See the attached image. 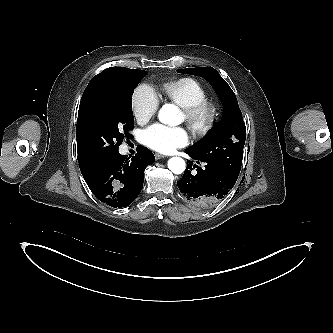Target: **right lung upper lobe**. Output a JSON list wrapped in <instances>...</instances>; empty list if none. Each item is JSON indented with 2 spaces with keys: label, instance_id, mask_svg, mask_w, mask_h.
<instances>
[{
  "label": "right lung upper lobe",
  "instance_id": "cb5924a9",
  "mask_svg": "<svg viewBox=\"0 0 333 333\" xmlns=\"http://www.w3.org/2000/svg\"><path fill=\"white\" fill-rule=\"evenodd\" d=\"M127 68L124 67H110L108 69H105L104 71H102L101 73H99L98 75H96L87 85L83 96L81 98V102H80V106H79V111H78V119L82 116L86 104H87V99L89 96V93L91 91V89L93 88L94 85H96L100 80H102L103 78L107 77L108 75L117 72V71H121V70H125ZM78 162H79V166H80V170L81 173L83 175V177L87 176L90 172H92L97 166H90L84 163L83 159L81 158V156H79L78 154Z\"/></svg>",
  "mask_w": 333,
  "mask_h": 333
}]
</instances>
